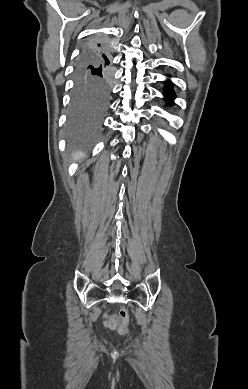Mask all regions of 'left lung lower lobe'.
<instances>
[{
  "label": "left lung lower lobe",
  "instance_id": "0a47b994",
  "mask_svg": "<svg viewBox=\"0 0 248 389\" xmlns=\"http://www.w3.org/2000/svg\"><path fill=\"white\" fill-rule=\"evenodd\" d=\"M172 90V84L167 82L164 92L167 102H171L175 98V93Z\"/></svg>",
  "mask_w": 248,
  "mask_h": 389
}]
</instances>
